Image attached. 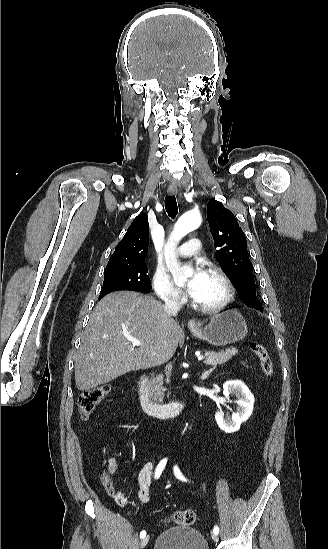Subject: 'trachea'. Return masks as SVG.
<instances>
[{"label":"trachea","instance_id":"1","mask_svg":"<svg viewBox=\"0 0 328 549\" xmlns=\"http://www.w3.org/2000/svg\"><path fill=\"white\" fill-rule=\"evenodd\" d=\"M165 209L169 217L174 219L178 213V206L175 195H167L165 197Z\"/></svg>","mask_w":328,"mask_h":549}]
</instances>
